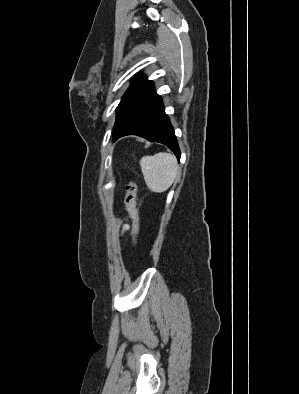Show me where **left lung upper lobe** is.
Wrapping results in <instances>:
<instances>
[{
	"label": "left lung upper lobe",
	"mask_w": 299,
	"mask_h": 394,
	"mask_svg": "<svg viewBox=\"0 0 299 394\" xmlns=\"http://www.w3.org/2000/svg\"><path fill=\"white\" fill-rule=\"evenodd\" d=\"M152 84V81H148L142 74H138L132 81L130 87L123 95L121 102L117 107L116 125L120 119L124 116L127 110L135 102V100Z\"/></svg>",
	"instance_id": "obj_1"
}]
</instances>
